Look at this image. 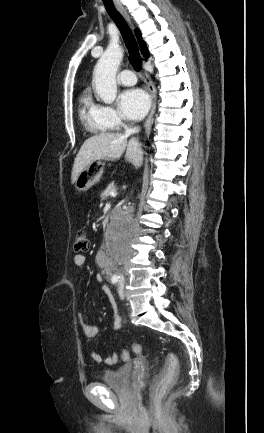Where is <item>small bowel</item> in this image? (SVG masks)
Returning <instances> with one entry per match:
<instances>
[{"label":"small bowel","mask_w":264,"mask_h":433,"mask_svg":"<svg viewBox=\"0 0 264 433\" xmlns=\"http://www.w3.org/2000/svg\"><path fill=\"white\" fill-rule=\"evenodd\" d=\"M86 263V257L84 255H76L74 257V264L78 269H82L84 267ZM96 281L101 284L102 289L108 294L110 295V290L108 289V287L104 284L103 278L100 274L96 275ZM79 322L82 326L83 332L84 334L88 337V338H95L98 333H99V328L96 325L93 324H89L87 323L83 316L81 314H79ZM115 324L117 327L120 326V319L118 316L115 317ZM90 358L96 362V363H101L104 362L107 365H114L117 362V355L116 354H112L108 357H106L105 359H102L101 355L96 353V352H91L90 353Z\"/></svg>","instance_id":"obj_1"}]
</instances>
